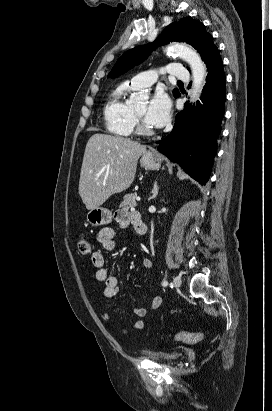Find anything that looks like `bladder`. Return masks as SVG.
I'll list each match as a JSON object with an SVG mask.
<instances>
[{
	"label": "bladder",
	"mask_w": 272,
	"mask_h": 411,
	"mask_svg": "<svg viewBox=\"0 0 272 411\" xmlns=\"http://www.w3.org/2000/svg\"><path fill=\"white\" fill-rule=\"evenodd\" d=\"M146 356L155 362L172 364L180 359V354L178 352H147Z\"/></svg>",
	"instance_id": "1"
}]
</instances>
